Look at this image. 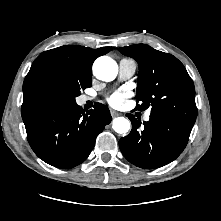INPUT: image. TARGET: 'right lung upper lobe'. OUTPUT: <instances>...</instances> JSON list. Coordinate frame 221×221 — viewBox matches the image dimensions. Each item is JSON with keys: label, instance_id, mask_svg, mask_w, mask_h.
<instances>
[{"label": "right lung upper lobe", "instance_id": "cb5924a9", "mask_svg": "<svg viewBox=\"0 0 221 221\" xmlns=\"http://www.w3.org/2000/svg\"><path fill=\"white\" fill-rule=\"evenodd\" d=\"M111 47L91 49L66 45L40 54L33 62L23 84L22 117L56 104L50 87L68 78L92 79V64Z\"/></svg>", "mask_w": 221, "mask_h": 221}]
</instances>
